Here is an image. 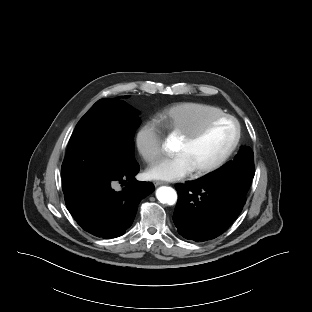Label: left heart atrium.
<instances>
[{"label": "left heart atrium", "mask_w": 312, "mask_h": 312, "mask_svg": "<svg viewBox=\"0 0 312 312\" xmlns=\"http://www.w3.org/2000/svg\"><path fill=\"white\" fill-rule=\"evenodd\" d=\"M194 171L185 154L179 153L173 157L164 158L147 171V176L154 180L177 181Z\"/></svg>", "instance_id": "left-heart-atrium-1"}]
</instances>
